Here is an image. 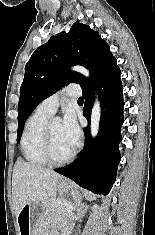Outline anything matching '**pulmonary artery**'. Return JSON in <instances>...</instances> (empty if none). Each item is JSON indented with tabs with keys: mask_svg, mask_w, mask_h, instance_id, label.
I'll return each instance as SVG.
<instances>
[{
	"mask_svg": "<svg viewBox=\"0 0 155 235\" xmlns=\"http://www.w3.org/2000/svg\"><path fill=\"white\" fill-rule=\"evenodd\" d=\"M81 94V90L79 88V86L77 85H69L67 87H65L62 91L57 92L51 96H49L48 98L44 99L39 105H38V109L49 113V114H53L55 113V111L57 110L58 106H59V101L62 95H66L69 97H78Z\"/></svg>",
	"mask_w": 155,
	"mask_h": 235,
	"instance_id": "pulmonary-artery-1",
	"label": "pulmonary artery"
}]
</instances>
